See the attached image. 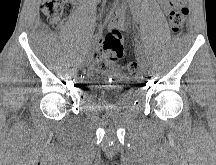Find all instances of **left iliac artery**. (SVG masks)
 <instances>
[{
    "label": "left iliac artery",
    "mask_w": 216,
    "mask_h": 165,
    "mask_svg": "<svg viewBox=\"0 0 216 165\" xmlns=\"http://www.w3.org/2000/svg\"><path fill=\"white\" fill-rule=\"evenodd\" d=\"M136 42H137L136 45H137V50H138L139 54L143 53V52H142V46H141L139 40L136 39Z\"/></svg>",
    "instance_id": "44dca946"
}]
</instances>
